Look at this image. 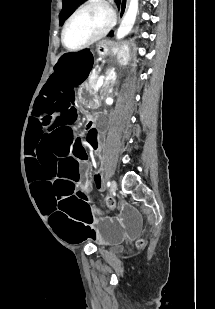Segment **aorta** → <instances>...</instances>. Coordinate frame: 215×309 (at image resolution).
<instances>
[{"label": "aorta", "instance_id": "762f6f07", "mask_svg": "<svg viewBox=\"0 0 215 309\" xmlns=\"http://www.w3.org/2000/svg\"><path fill=\"white\" fill-rule=\"evenodd\" d=\"M137 12H138V0H129V6L117 30L116 34L117 38H123V36H126V34L130 32L136 20Z\"/></svg>", "mask_w": 215, "mask_h": 309}]
</instances>
